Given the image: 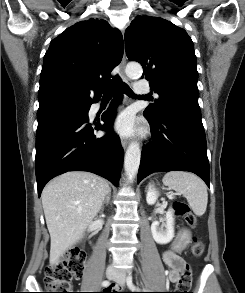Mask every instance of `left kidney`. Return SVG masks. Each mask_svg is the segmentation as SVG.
I'll return each instance as SVG.
<instances>
[{
  "mask_svg": "<svg viewBox=\"0 0 245 293\" xmlns=\"http://www.w3.org/2000/svg\"><path fill=\"white\" fill-rule=\"evenodd\" d=\"M159 193L155 188L149 186L146 201L149 205H153L156 203L158 199ZM174 213L172 209H169L166 212V223L160 226L158 221H154L151 224V232L153 239L158 244H167L174 237Z\"/></svg>",
  "mask_w": 245,
  "mask_h": 293,
  "instance_id": "obj_1",
  "label": "left kidney"
}]
</instances>
